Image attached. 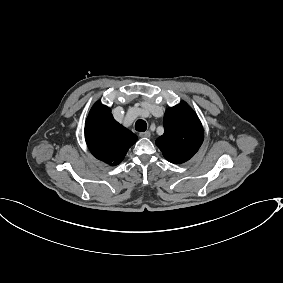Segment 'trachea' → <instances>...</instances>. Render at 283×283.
<instances>
[{
    "mask_svg": "<svg viewBox=\"0 0 283 283\" xmlns=\"http://www.w3.org/2000/svg\"><path fill=\"white\" fill-rule=\"evenodd\" d=\"M135 129L139 132H144L147 129V123L144 120H137L135 123Z\"/></svg>",
    "mask_w": 283,
    "mask_h": 283,
    "instance_id": "3493384b",
    "label": "trachea"
}]
</instances>
